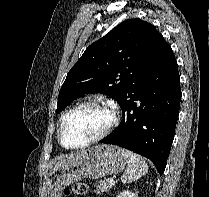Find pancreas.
Returning <instances> with one entry per match:
<instances>
[{"label":"pancreas","mask_w":209,"mask_h":197,"mask_svg":"<svg viewBox=\"0 0 209 197\" xmlns=\"http://www.w3.org/2000/svg\"><path fill=\"white\" fill-rule=\"evenodd\" d=\"M114 183H108L106 180H100V182L96 185V192H108Z\"/></svg>","instance_id":"cf45deb5"}]
</instances>
